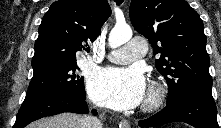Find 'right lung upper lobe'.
Listing matches in <instances>:
<instances>
[{"label":"right lung upper lobe","instance_id":"right-lung-upper-lobe-1","mask_svg":"<svg viewBox=\"0 0 221 128\" xmlns=\"http://www.w3.org/2000/svg\"><path fill=\"white\" fill-rule=\"evenodd\" d=\"M111 15L107 0H59L44 15L32 58L34 74L76 62V52L101 34Z\"/></svg>","mask_w":221,"mask_h":128}]
</instances>
